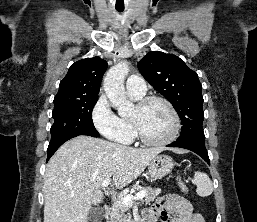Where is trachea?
I'll list each match as a JSON object with an SVG mask.
<instances>
[{"mask_svg": "<svg viewBox=\"0 0 257 222\" xmlns=\"http://www.w3.org/2000/svg\"><path fill=\"white\" fill-rule=\"evenodd\" d=\"M119 12H122L123 10H118Z\"/></svg>", "mask_w": 257, "mask_h": 222, "instance_id": "obj_1", "label": "trachea"}]
</instances>
